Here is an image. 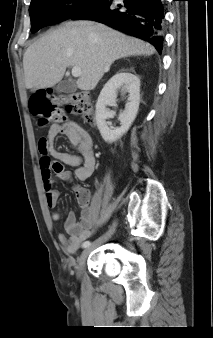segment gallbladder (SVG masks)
I'll return each instance as SVG.
<instances>
[{
    "instance_id": "gallbladder-1",
    "label": "gallbladder",
    "mask_w": 213,
    "mask_h": 338,
    "mask_svg": "<svg viewBox=\"0 0 213 338\" xmlns=\"http://www.w3.org/2000/svg\"><path fill=\"white\" fill-rule=\"evenodd\" d=\"M77 89L76 85L74 83H71L69 81H61L56 86V91L58 93H72L75 92Z\"/></svg>"
}]
</instances>
